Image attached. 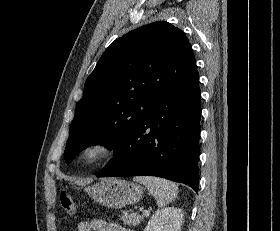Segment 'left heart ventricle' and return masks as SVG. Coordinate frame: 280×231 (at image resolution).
I'll return each mask as SVG.
<instances>
[{"mask_svg": "<svg viewBox=\"0 0 280 231\" xmlns=\"http://www.w3.org/2000/svg\"><path fill=\"white\" fill-rule=\"evenodd\" d=\"M104 153V147L97 145L93 146L85 151L82 157V162L86 165L95 164L101 159Z\"/></svg>", "mask_w": 280, "mask_h": 231, "instance_id": "obj_1", "label": "left heart ventricle"}]
</instances>
